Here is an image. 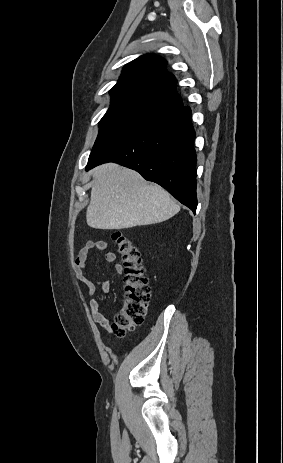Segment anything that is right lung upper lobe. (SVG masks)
Segmentation results:
<instances>
[{"label": "right lung upper lobe", "instance_id": "1", "mask_svg": "<svg viewBox=\"0 0 283 463\" xmlns=\"http://www.w3.org/2000/svg\"><path fill=\"white\" fill-rule=\"evenodd\" d=\"M167 61L146 54L128 63L111 95L121 96L155 108L161 114L182 106L176 79L166 71Z\"/></svg>", "mask_w": 283, "mask_h": 463}]
</instances>
